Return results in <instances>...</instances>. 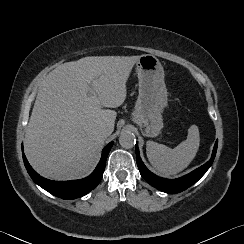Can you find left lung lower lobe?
<instances>
[{
    "mask_svg": "<svg viewBox=\"0 0 244 244\" xmlns=\"http://www.w3.org/2000/svg\"><path fill=\"white\" fill-rule=\"evenodd\" d=\"M217 145L218 142L216 141L213 149L212 157L207 163L195 169L191 173L178 179H174V180L164 179L151 173L142 162L139 154L138 145L136 143L135 150H136L137 166L139 168L141 176L146 180V182H148L156 189L166 193H178L192 186L206 173V171L212 165L213 160L215 158Z\"/></svg>",
    "mask_w": 244,
    "mask_h": 244,
    "instance_id": "1",
    "label": "left lung lower lobe"
}]
</instances>
